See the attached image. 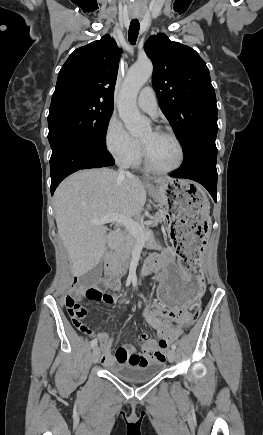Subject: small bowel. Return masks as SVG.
Returning a JSON list of instances; mask_svg holds the SVG:
<instances>
[{
    "mask_svg": "<svg viewBox=\"0 0 263 435\" xmlns=\"http://www.w3.org/2000/svg\"><path fill=\"white\" fill-rule=\"evenodd\" d=\"M164 258L175 257L173 252L168 249L162 251L160 254H152L146 260L141 273L146 275L152 270L160 268L159 264ZM81 295L80 290H75L74 296L77 299H80ZM189 319L190 314L188 310H169L167 305H159L158 303L146 305L143 310L144 323L155 330L159 338L161 336V341H156L147 334H143L140 337L141 353L136 351L132 345L125 344L119 347L115 354H112L111 347L114 339L109 337L104 331H100L98 337L102 349V363L105 366H111L116 363L138 366L155 360L163 361L165 355L170 353L172 348L171 342L176 340L182 333L181 325ZM172 322H175L179 327L174 329Z\"/></svg>",
    "mask_w": 263,
    "mask_h": 435,
    "instance_id": "small-bowel-1",
    "label": "small bowel"
}]
</instances>
